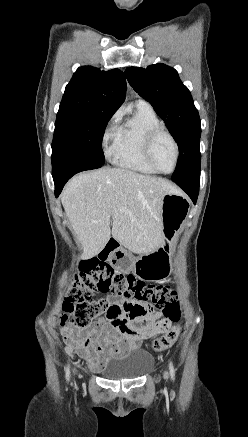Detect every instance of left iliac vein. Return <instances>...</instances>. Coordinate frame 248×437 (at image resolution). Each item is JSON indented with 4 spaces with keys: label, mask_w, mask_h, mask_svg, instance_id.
I'll return each instance as SVG.
<instances>
[{
    "label": "left iliac vein",
    "mask_w": 248,
    "mask_h": 437,
    "mask_svg": "<svg viewBox=\"0 0 248 437\" xmlns=\"http://www.w3.org/2000/svg\"><path fill=\"white\" fill-rule=\"evenodd\" d=\"M165 377H167V373H165Z\"/></svg>",
    "instance_id": "4c4485c4"
}]
</instances>
